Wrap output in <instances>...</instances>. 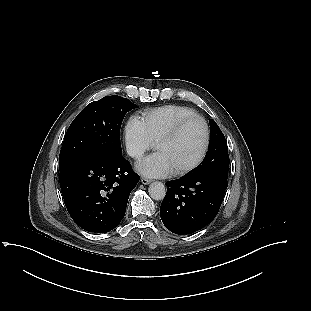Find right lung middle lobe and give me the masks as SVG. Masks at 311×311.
<instances>
[{
    "instance_id": "obj_1",
    "label": "right lung middle lobe",
    "mask_w": 311,
    "mask_h": 311,
    "mask_svg": "<svg viewBox=\"0 0 311 311\" xmlns=\"http://www.w3.org/2000/svg\"><path fill=\"white\" fill-rule=\"evenodd\" d=\"M138 106L120 96L88 104L69 126L59 156V169L85 157L122 155L120 127L125 114Z\"/></svg>"
}]
</instances>
